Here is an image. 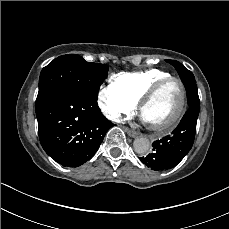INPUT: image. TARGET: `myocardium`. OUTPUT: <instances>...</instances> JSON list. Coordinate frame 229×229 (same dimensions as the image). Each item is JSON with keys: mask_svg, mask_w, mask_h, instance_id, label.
Wrapping results in <instances>:
<instances>
[{"mask_svg": "<svg viewBox=\"0 0 229 229\" xmlns=\"http://www.w3.org/2000/svg\"><path fill=\"white\" fill-rule=\"evenodd\" d=\"M177 81L180 84L178 85V103L176 105V110L170 115V118L166 120L165 124H160L158 127L149 126L150 129L157 135H166L172 132L184 119L186 116L188 109L191 104L190 95L188 93L187 87L183 79L178 76H169L159 80L156 84L152 86L147 92L142 95L137 102V109L139 110L140 116L144 111V108L147 102L151 99V97L162 87L167 85L170 81ZM183 110V111H182ZM182 111V113H181Z\"/></svg>", "mask_w": 229, "mask_h": 229, "instance_id": "obj_1", "label": "myocardium"}]
</instances>
